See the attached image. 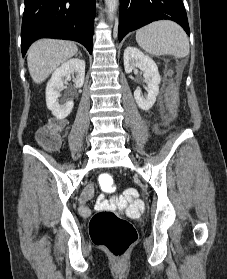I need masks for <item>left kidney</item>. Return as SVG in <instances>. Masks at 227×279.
Segmentation results:
<instances>
[{
	"mask_svg": "<svg viewBox=\"0 0 227 279\" xmlns=\"http://www.w3.org/2000/svg\"><path fill=\"white\" fill-rule=\"evenodd\" d=\"M124 68L126 73L132 72L135 68H139L143 72V77L147 83L148 94L142 96L141 90L135 89L134 98L140 109L148 111L156 101L161 82L156 63L152 58L144 55L139 49L127 47L124 50Z\"/></svg>",
	"mask_w": 227,
	"mask_h": 279,
	"instance_id": "1",
	"label": "left kidney"
}]
</instances>
